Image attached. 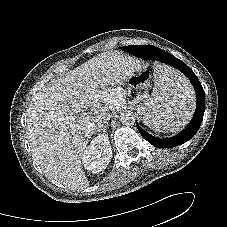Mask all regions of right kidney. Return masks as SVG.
Wrapping results in <instances>:
<instances>
[{"label": "right kidney", "instance_id": "right-kidney-1", "mask_svg": "<svg viewBox=\"0 0 227 227\" xmlns=\"http://www.w3.org/2000/svg\"><path fill=\"white\" fill-rule=\"evenodd\" d=\"M111 158L112 150L108 135L99 134L84 151L82 163L87 171L96 174L106 169Z\"/></svg>", "mask_w": 227, "mask_h": 227}]
</instances>
